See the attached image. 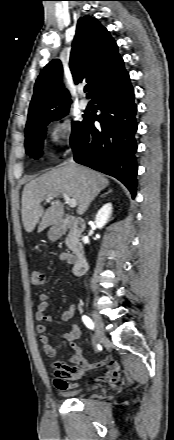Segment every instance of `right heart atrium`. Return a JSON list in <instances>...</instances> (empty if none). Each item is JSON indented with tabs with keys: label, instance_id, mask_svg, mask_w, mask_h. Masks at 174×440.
<instances>
[{
	"label": "right heart atrium",
	"instance_id": "obj_1",
	"mask_svg": "<svg viewBox=\"0 0 174 440\" xmlns=\"http://www.w3.org/2000/svg\"><path fill=\"white\" fill-rule=\"evenodd\" d=\"M67 140L66 125L62 119H53L47 129V141L56 148L65 144Z\"/></svg>",
	"mask_w": 174,
	"mask_h": 440
}]
</instances>
